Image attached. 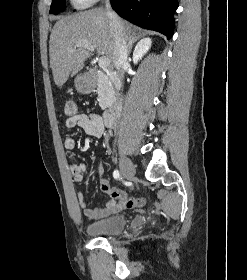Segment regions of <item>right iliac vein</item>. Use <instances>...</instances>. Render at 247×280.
Segmentation results:
<instances>
[{"mask_svg": "<svg viewBox=\"0 0 247 280\" xmlns=\"http://www.w3.org/2000/svg\"><path fill=\"white\" fill-rule=\"evenodd\" d=\"M119 163L122 176L127 179L133 178L136 170L132 161L125 156H121L119 159Z\"/></svg>", "mask_w": 247, "mask_h": 280, "instance_id": "63e3f726", "label": "right iliac vein"}]
</instances>
